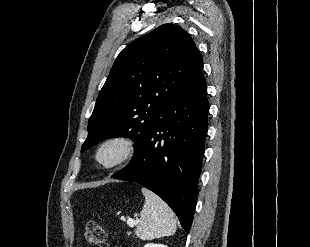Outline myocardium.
Masks as SVG:
<instances>
[{
  "label": "myocardium",
  "instance_id": "1",
  "mask_svg": "<svg viewBox=\"0 0 310 247\" xmlns=\"http://www.w3.org/2000/svg\"><path fill=\"white\" fill-rule=\"evenodd\" d=\"M108 146H116L120 154L116 160L111 163H104L100 159L102 150ZM137 150L135 139L127 134H117L104 140L97 148L95 153L96 162L105 169H114L129 162Z\"/></svg>",
  "mask_w": 310,
  "mask_h": 247
}]
</instances>
